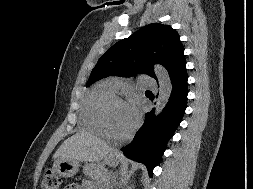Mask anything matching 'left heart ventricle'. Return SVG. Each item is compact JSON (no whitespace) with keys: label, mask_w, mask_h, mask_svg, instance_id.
Here are the masks:
<instances>
[{"label":"left heart ventricle","mask_w":253,"mask_h":189,"mask_svg":"<svg viewBox=\"0 0 253 189\" xmlns=\"http://www.w3.org/2000/svg\"><path fill=\"white\" fill-rule=\"evenodd\" d=\"M108 122L111 130L117 134L129 131L135 124V121L129 115L127 104L125 103H116L111 106Z\"/></svg>","instance_id":"left-heart-ventricle-1"}]
</instances>
